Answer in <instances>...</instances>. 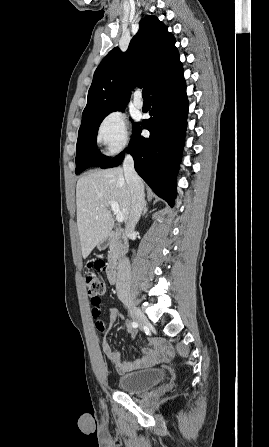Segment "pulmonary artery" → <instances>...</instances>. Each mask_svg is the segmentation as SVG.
Here are the masks:
<instances>
[{
  "instance_id": "1",
  "label": "pulmonary artery",
  "mask_w": 269,
  "mask_h": 447,
  "mask_svg": "<svg viewBox=\"0 0 269 447\" xmlns=\"http://www.w3.org/2000/svg\"><path fill=\"white\" fill-rule=\"evenodd\" d=\"M134 105L138 109H141L143 107V99H142L141 94H135V96H134Z\"/></svg>"
}]
</instances>
